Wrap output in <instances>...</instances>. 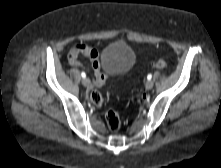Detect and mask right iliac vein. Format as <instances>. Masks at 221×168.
<instances>
[{"label": "right iliac vein", "instance_id": "obj_1", "mask_svg": "<svg viewBox=\"0 0 221 168\" xmlns=\"http://www.w3.org/2000/svg\"><path fill=\"white\" fill-rule=\"evenodd\" d=\"M82 84L85 86V87H91V81L88 79V78H84L82 80Z\"/></svg>", "mask_w": 221, "mask_h": 168}]
</instances>
